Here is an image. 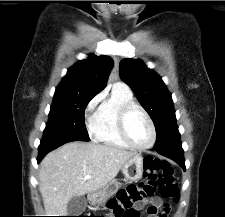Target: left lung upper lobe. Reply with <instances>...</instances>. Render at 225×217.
Here are the masks:
<instances>
[{
    "label": "left lung upper lobe",
    "mask_w": 225,
    "mask_h": 217,
    "mask_svg": "<svg viewBox=\"0 0 225 217\" xmlns=\"http://www.w3.org/2000/svg\"><path fill=\"white\" fill-rule=\"evenodd\" d=\"M120 75L154 122L157 134L154 148L180 141L172 97L161 77L141 60L133 59L121 60Z\"/></svg>",
    "instance_id": "obj_1"
}]
</instances>
